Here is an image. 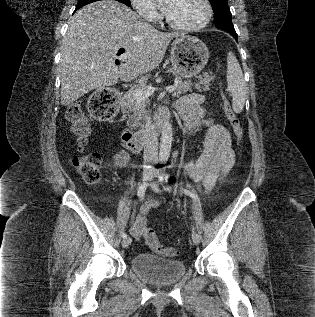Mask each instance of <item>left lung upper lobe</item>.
<instances>
[{
	"mask_svg": "<svg viewBox=\"0 0 315 317\" xmlns=\"http://www.w3.org/2000/svg\"><path fill=\"white\" fill-rule=\"evenodd\" d=\"M215 14V26L225 31H235L227 0H209Z\"/></svg>",
	"mask_w": 315,
	"mask_h": 317,
	"instance_id": "1",
	"label": "left lung upper lobe"
}]
</instances>
